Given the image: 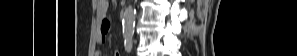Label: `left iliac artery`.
I'll return each instance as SVG.
<instances>
[{
    "label": "left iliac artery",
    "instance_id": "obj_1",
    "mask_svg": "<svg viewBox=\"0 0 297 56\" xmlns=\"http://www.w3.org/2000/svg\"><path fill=\"white\" fill-rule=\"evenodd\" d=\"M133 45V39L132 36H127L125 39V48L128 52L131 51Z\"/></svg>",
    "mask_w": 297,
    "mask_h": 56
}]
</instances>
